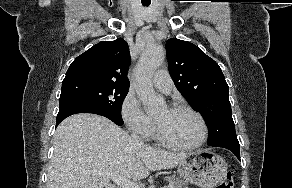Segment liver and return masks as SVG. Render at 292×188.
<instances>
[{
	"instance_id": "liver-1",
	"label": "liver",
	"mask_w": 292,
	"mask_h": 188,
	"mask_svg": "<svg viewBox=\"0 0 292 188\" xmlns=\"http://www.w3.org/2000/svg\"><path fill=\"white\" fill-rule=\"evenodd\" d=\"M186 156L138 145L104 117L75 114L61 122L54 134L46 188H103L111 175L144 179L150 171L174 168Z\"/></svg>"
}]
</instances>
